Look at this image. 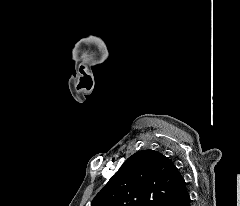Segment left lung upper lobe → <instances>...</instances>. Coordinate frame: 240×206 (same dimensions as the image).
I'll use <instances>...</instances> for the list:
<instances>
[{
	"instance_id": "obj_1",
	"label": "left lung upper lobe",
	"mask_w": 240,
	"mask_h": 206,
	"mask_svg": "<svg viewBox=\"0 0 240 206\" xmlns=\"http://www.w3.org/2000/svg\"><path fill=\"white\" fill-rule=\"evenodd\" d=\"M180 175L175 164L163 154L138 151L124 162L91 206H166Z\"/></svg>"
}]
</instances>
